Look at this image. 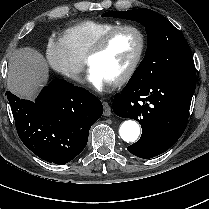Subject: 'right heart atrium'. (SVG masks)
Masks as SVG:
<instances>
[{
	"instance_id": "d8ad5b80",
	"label": "right heart atrium",
	"mask_w": 209,
	"mask_h": 209,
	"mask_svg": "<svg viewBox=\"0 0 209 209\" xmlns=\"http://www.w3.org/2000/svg\"><path fill=\"white\" fill-rule=\"evenodd\" d=\"M45 54L47 62L56 72L75 82H82L84 61L72 51L64 36H51Z\"/></svg>"
}]
</instances>
